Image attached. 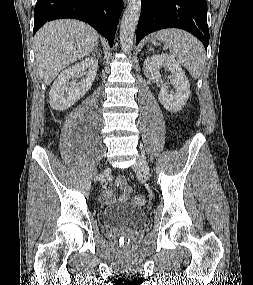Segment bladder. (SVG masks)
Listing matches in <instances>:
<instances>
[{
	"label": "bladder",
	"instance_id": "31cf9c89",
	"mask_svg": "<svg viewBox=\"0 0 253 285\" xmlns=\"http://www.w3.org/2000/svg\"><path fill=\"white\" fill-rule=\"evenodd\" d=\"M103 225L107 229H133L145 223L146 212L136 206L127 204L115 208H106L101 212Z\"/></svg>",
	"mask_w": 253,
	"mask_h": 285
}]
</instances>
